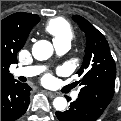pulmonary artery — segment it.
Listing matches in <instances>:
<instances>
[{"label":"pulmonary artery","mask_w":121,"mask_h":121,"mask_svg":"<svg viewBox=\"0 0 121 121\" xmlns=\"http://www.w3.org/2000/svg\"><path fill=\"white\" fill-rule=\"evenodd\" d=\"M70 47H71L70 42L55 45L56 51L59 54H64V53L68 52ZM42 70H43V68L41 66L20 67V68H16L13 71V75L15 77H19V76L32 77V76H35V75L39 74ZM71 96L74 99L77 98L78 97V92H73Z\"/></svg>","instance_id":"1"}]
</instances>
